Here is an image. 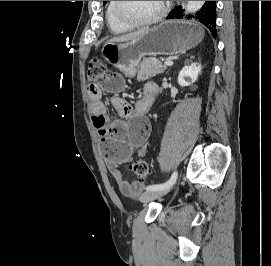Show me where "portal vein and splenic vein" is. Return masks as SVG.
Segmentation results:
<instances>
[{"label": "portal vein and splenic vein", "instance_id": "18ae733b", "mask_svg": "<svg viewBox=\"0 0 271 266\" xmlns=\"http://www.w3.org/2000/svg\"><path fill=\"white\" fill-rule=\"evenodd\" d=\"M164 65H166V66H172L173 65V61L172 60H166L164 62Z\"/></svg>", "mask_w": 271, "mask_h": 266}]
</instances>
